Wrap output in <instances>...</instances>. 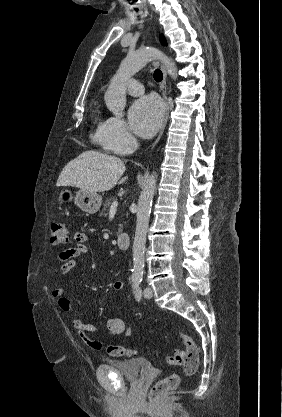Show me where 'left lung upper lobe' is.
Here are the masks:
<instances>
[{
	"mask_svg": "<svg viewBox=\"0 0 282 417\" xmlns=\"http://www.w3.org/2000/svg\"><path fill=\"white\" fill-rule=\"evenodd\" d=\"M160 40H161V43H162L163 45H166L165 38H164L162 35L160 36Z\"/></svg>",
	"mask_w": 282,
	"mask_h": 417,
	"instance_id": "left-lung-upper-lobe-1",
	"label": "left lung upper lobe"
}]
</instances>
